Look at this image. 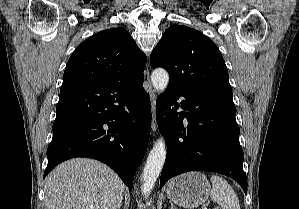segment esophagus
Here are the masks:
<instances>
[{
  "label": "esophagus",
  "mask_w": 299,
  "mask_h": 209,
  "mask_svg": "<svg viewBox=\"0 0 299 209\" xmlns=\"http://www.w3.org/2000/svg\"><path fill=\"white\" fill-rule=\"evenodd\" d=\"M149 95L151 99V107H152V130L155 131L157 128V121H156V94L155 91L150 86Z\"/></svg>",
  "instance_id": "esophagus-1"
}]
</instances>
